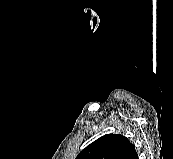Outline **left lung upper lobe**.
I'll return each mask as SVG.
<instances>
[{
	"label": "left lung upper lobe",
	"instance_id": "1",
	"mask_svg": "<svg viewBox=\"0 0 173 159\" xmlns=\"http://www.w3.org/2000/svg\"><path fill=\"white\" fill-rule=\"evenodd\" d=\"M135 146L119 134L104 135L85 149L76 159H137Z\"/></svg>",
	"mask_w": 173,
	"mask_h": 159
}]
</instances>
